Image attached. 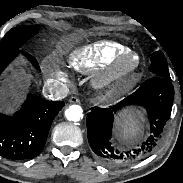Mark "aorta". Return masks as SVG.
I'll use <instances>...</instances> for the list:
<instances>
[{
	"label": "aorta",
	"mask_w": 183,
	"mask_h": 183,
	"mask_svg": "<svg viewBox=\"0 0 183 183\" xmlns=\"http://www.w3.org/2000/svg\"><path fill=\"white\" fill-rule=\"evenodd\" d=\"M65 116L69 121L78 122L83 117V110L79 105H71L65 111Z\"/></svg>",
	"instance_id": "1"
}]
</instances>
